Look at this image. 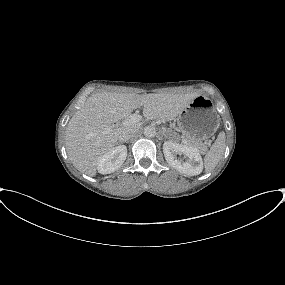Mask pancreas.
Segmentation results:
<instances>
[{"label": "pancreas", "instance_id": "cf45deb5", "mask_svg": "<svg viewBox=\"0 0 285 285\" xmlns=\"http://www.w3.org/2000/svg\"><path fill=\"white\" fill-rule=\"evenodd\" d=\"M189 139H191V138H189ZM188 144L198 148L202 153H205L207 151V146L200 140L191 139L188 141Z\"/></svg>", "mask_w": 285, "mask_h": 285}]
</instances>
